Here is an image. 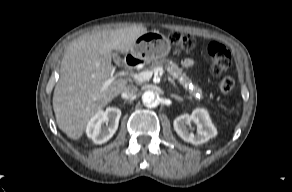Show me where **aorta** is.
I'll return each instance as SVG.
<instances>
[{
	"label": "aorta",
	"instance_id": "1",
	"mask_svg": "<svg viewBox=\"0 0 292 192\" xmlns=\"http://www.w3.org/2000/svg\"><path fill=\"white\" fill-rule=\"evenodd\" d=\"M142 102L145 106L153 108L158 105L159 97L155 92L147 90L142 95Z\"/></svg>",
	"mask_w": 292,
	"mask_h": 192
}]
</instances>
